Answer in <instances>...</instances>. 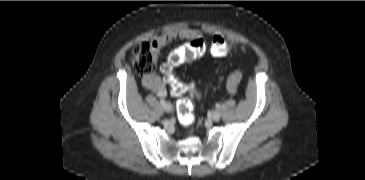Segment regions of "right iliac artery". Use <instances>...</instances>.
Returning a JSON list of instances; mask_svg holds the SVG:
<instances>
[{
    "label": "right iliac artery",
    "instance_id": "1",
    "mask_svg": "<svg viewBox=\"0 0 365 180\" xmlns=\"http://www.w3.org/2000/svg\"><path fill=\"white\" fill-rule=\"evenodd\" d=\"M160 103H161L162 105H164V104H165V100L160 99Z\"/></svg>",
    "mask_w": 365,
    "mask_h": 180
}]
</instances>
